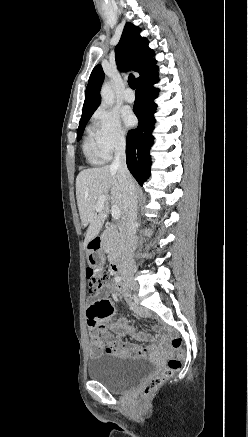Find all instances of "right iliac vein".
<instances>
[{
    "label": "right iliac vein",
    "instance_id": "obj_1",
    "mask_svg": "<svg viewBox=\"0 0 248 437\" xmlns=\"http://www.w3.org/2000/svg\"><path fill=\"white\" fill-rule=\"evenodd\" d=\"M124 279L129 287H131L133 289L138 288L137 283L134 281V279L131 275H125Z\"/></svg>",
    "mask_w": 248,
    "mask_h": 437
}]
</instances>
